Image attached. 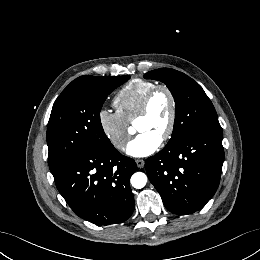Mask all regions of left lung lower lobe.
<instances>
[{
    "label": "left lung lower lobe",
    "mask_w": 260,
    "mask_h": 260,
    "mask_svg": "<svg viewBox=\"0 0 260 260\" xmlns=\"http://www.w3.org/2000/svg\"><path fill=\"white\" fill-rule=\"evenodd\" d=\"M221 126L198 129L147 158L148 178L178 215L201 209L215 194L224 160Z\"/></svg>",
    "instance_id": "left-lung-lower-lobe-1"
}]
</instances>
